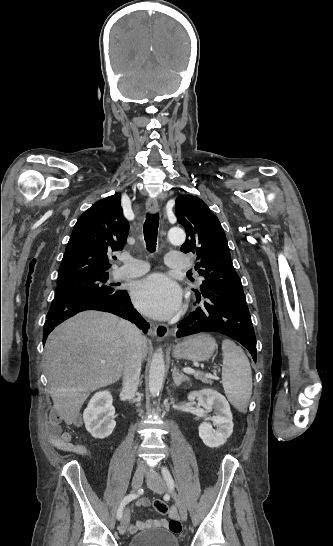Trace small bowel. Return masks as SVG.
<instances>
[{
  "label": "small bowel",
  "mask_w": 333,
  "mask_h": 546,
  "mask_svg": "<svg viewBox=\"0 0 333 546\" xmlns=\"http://www.w3.org/2000/svg\"><path fill=\"white\" fill-rule=\"evenodd\" d=\"M60 423H61L60 417H51L49 420L47 433L52 445L56 448L70 451L78 455H81L83 457H87L88 453L86 448L82 445L72 443L71 436L67 433L62 432ZM141 505L143 506L148 505V500L146 499L142 500ZM169 516H170L169 522L166 520H159V521L148 520L146 522L137 521L135 524H133L130 527V531L132 533H135L146 526L158 524L162 526H170V529L175 533L180 532L181 526H180V523L178 522V512L175 507H172L170 509Z\"/></svg>",
  "instance_id": "c3829d8e"
}]
</instances>
